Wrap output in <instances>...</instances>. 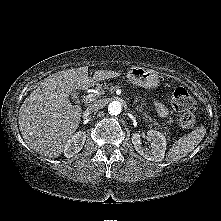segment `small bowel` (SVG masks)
Wrapping results in <instances>:
<instances>
[{"instance_id":"1","label":"small bowel","mask_w":221,"mask_h":221,"mask_svg":"<svg viewBox=\"0 0 221 221\" xmlns=\"http://www.w3.org/2000/svg\"><path fill=\"white\" fill-rule=\"evenodd\" d=\"M157 110H158V113L162 116L167 114V109L161 104L157 105Z\"/></svg>"}]
</instances>
